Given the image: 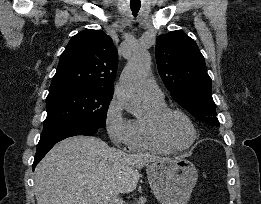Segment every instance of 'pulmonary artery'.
<instances>
[{
  "mask_svg": "<svg viewBox=\"0 0 261 204\" xmlns=\"http://www.w3.org/2000/svg\"><path fill=\"white\" fill-rule=\"evenodd\" d=\"M144 100H162L164 95L162 90L153 80H146L141 87Z\"/></svg>",
  "mask_w": 261,
  "mask_h": 204,
  "instance_id": "1",
  "label": "pulmonary artery"
}]
</instances>
